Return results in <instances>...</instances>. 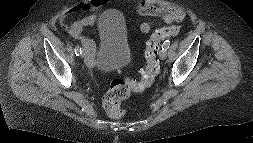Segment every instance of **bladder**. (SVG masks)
<instances>
[{"label":"bladder","instance_id":"31cf9c89","mask_svg":"<svg viewBox=\"0 0 253 143\" xmlns=\"http://www.w3.org/2000/svg\"><path fill=\"white\" fill-rule=\"evenodd\" d=\"M98 47L94 59L97 70L108 72L132 61L135 52L131 47L124 15L121 10H105L98 18Z\"/></svg>","mask_w":253,"mask_h":143}]
</instances>
